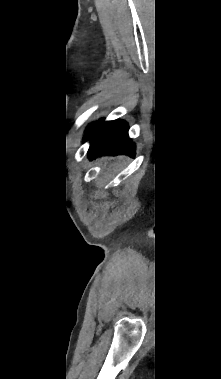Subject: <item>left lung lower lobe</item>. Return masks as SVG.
<instances>
[{
  "label": "left lung lower lobe",
  "instance_id": "1",
  "mask_svg": "<svg viewBox=\"0 0 221 379\" xmlns=\"http://www.w3.org/2000/svg\"><path fill=\"white\" fill-rule=\"evenodd\" d=\"M128 126L124 121L102 120L91 125L86 132L85 140L90 139L89 158L94 159L102 154L134 155V145L128 138Z\"/></svg>",
  "mask_w": 221,
  "mask_h": 379
}]
</instances>
